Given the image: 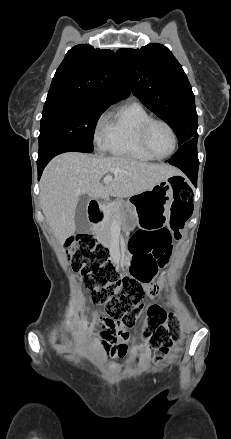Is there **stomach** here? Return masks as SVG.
Returning a JSON list of instances; mask_svg holds the SVG:
<instances>
[{
    "label": "stomach",
    "mask_w": 231,
    "mask_h": 439,
    "mask_svg": "<svg viewBox=\"0 0 231 439\" xmlns=\"http://www.w3.org/2000/svg\"><path fill=\"white\" fill-rule=\"evenodd\" d=\"M175 177V176H172ZM169 177L159 182L151 189L135 194L131 197L130 208L136 221L146 229L161 228L170 216V207L173 201V180ZM133 227L134 222L127 223Z\"/></svg>",
    "instance_id": "stomach-1"
}]
</instances>
